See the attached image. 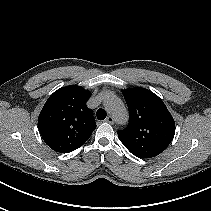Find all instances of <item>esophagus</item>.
Instances as JSON below:
<instances>
[{
    "instance_id": "esophagus-1",
    "label": "esophagus",
    "mask_w": 211,
    "mask_h": 211,
    "mask_svg": "<svg viewBox=\"0 0 211 211\" xmlns=\"http://www.w3.org/2000/svg\"><path fill=\"white\" fill-rule=\"evenodd\" d=\"M105 121L107 123H109V124H113L114 123V118L112 116H108Z\"/></svg>"
}]
</instances>
